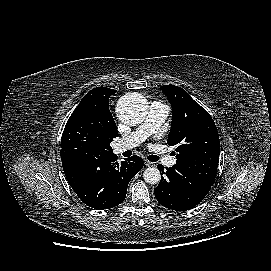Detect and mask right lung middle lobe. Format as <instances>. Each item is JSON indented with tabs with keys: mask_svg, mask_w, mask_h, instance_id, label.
Here are the masks:
<instances>
[{
	"mask_svg": "<svg viewBox=\"0 0 271 271\" xmlns=\"http://www.w3.org/2000/svg\"><path fill=\"white\" fill-rule=\"evenodd\" d=\"M116 90L103 88L85 103H79L68 119L61 138V153L112 154L110 143L118 136L109 110V98Z\"/></svg>",
	"mask_w": 271,
	"mask_h": 271,
	"instance_id": "obj_1",
	"label": "right lung middle lobe"
}]
</instances>
